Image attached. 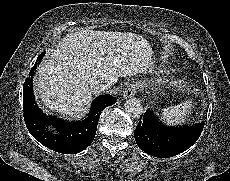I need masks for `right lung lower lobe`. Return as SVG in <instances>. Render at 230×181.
Listing matches in <instances>:
<instances>
[{
  "mask_svg": "<svg viewBox=\"0 0 230 181\" xmlns=\"http://www.w3.org/2000/svg\"><path fill=\"white\" fill-rule=\"evenodd\" d=\"M42 53L31 69L33 76L37 65L43 58ZM33 78H27L23 85L24 120L31 135L47 148L64 154H75L86 149L93 141L101 111L116 102L111 95H102L94 100L86 119L79 122H66L54 117L48 118L36 105L33 89Z\"/></svg>",
  "mask_w": 230,
  "mask_h": 181,
  "instance_id": "98d812e1",
  "label": "right lung lower lobe"
}]
</instances>
